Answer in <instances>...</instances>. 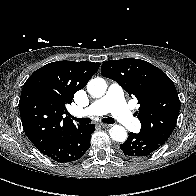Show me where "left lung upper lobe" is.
I'll list each match as a JSON object with an SVG mask.
<instances>
[{"instance_id":"left-lung-upper-lobe-1","label":"left lung upper lobe","mask_w":196,"mask_h":196,"mask_svg":"<svg viewBox=\"0 0 196 196\" xmlns=\"http://www.w3.org/2000/svg\"><path fill=\"white\" fill-rule=\"evenodd\" d=\"M101 74L118 82L130 96L137 98L140 107L135 114L142 125L139 133L163 145L176 126L180 109L171 79L158 67L134 58L106 61Z\"/></svg>"}]
</instances>
